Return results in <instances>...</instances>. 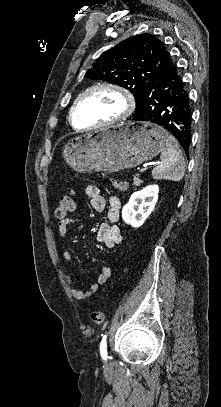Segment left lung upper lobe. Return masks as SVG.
<instances>
[{
  "label": "left lung upper lobe",
  "mask_w": 221,
  "mask_h": 407,
  "mask_svg": "<svg viewBox=\"0 0 221 407\" xmlns=\"http://www.w3.org/2000/svg\"><path fill=\"white\" fill-rule=\"evenodd\" d=\"M172 59L155 36L144 33L121 41L105 51L86 72V77L102 79L128 89L136 105L146 85L160 75Z\"/></svg>",
  "instance_id": "5c2ea615"
}]
</instances>
